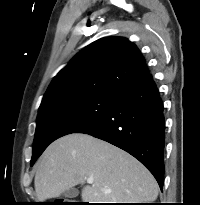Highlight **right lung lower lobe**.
<instances>
[{"mask_svg":"<svg viewBox=\"0 0 200 205\" xmlns=\"http://www.w3.org/2000/svg\"><path fill=\"white\" fill-rule=\"evenodd\" d=\"M159 91L148 74L122 91L99 118L74 133L107 141L137 158L164 184L165 120Z\"/></svg>","mask_w":200,"mask_h":205,"instance_id":"obj_1","label":"right lung lower lobe"}]
</instances>
